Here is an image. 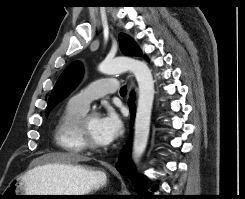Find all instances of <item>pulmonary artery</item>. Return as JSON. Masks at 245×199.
Segmentation results:
<instances>
[{
	"mask_svg": "<svg viewBox=\"0 0 245 199\" xmlns=\"http://www.w3.org/2000/svg\"><path fill=\"white\" fill-rule=\"evenodd\" d=\"M118 88V81L115 79H101L93 82L78 94L74 95L69 103L73 106L87 111L92 101L114 93Z\"/></svg>",
	"mask_w": 245,
	"mask_h": 199,
	"instance_id": "e3ab8cb5",
	"label": "pulmonary artery"
}]
</instances>
